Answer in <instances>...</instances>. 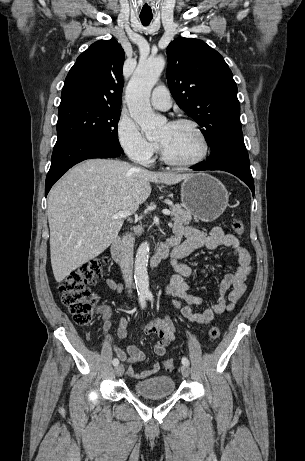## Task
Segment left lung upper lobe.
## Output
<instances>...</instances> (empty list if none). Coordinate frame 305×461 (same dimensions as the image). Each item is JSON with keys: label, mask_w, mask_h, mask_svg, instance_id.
<instances>
[{"label": "left lung upper lobe", "mask_w": 305, "mask_h": 461, "mask_svg": "<svg viewBox=\"0 0 305 461\" xmlns=\"http://www.w3.org/2000/svg\"><path fill=\"white\" fill-rule=\"evenodd\" d=\"M169 89L178 106L193 118L214 158L225 134L241 129L237 85L223 57L205 42L180 37L167 47Z\"/></svg>", "instance_id": "obj_1"}]
</instances>
